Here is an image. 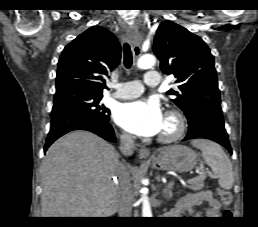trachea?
<instances>
[{
  "mask_svg": "<svg viewBox=\"0 0 258 227\" xmlns=\"http://www.w3.org/2000/svg\"><path fill=\"white\" fill-rule=\"evenodd\" d=\"M123 52H124V65L127 69H129L132 66V52L130 46L125 43L123 47Z\"/></svg>",
  "mask_w": 258,
  "mask_h": 227,
  "instance_id": "trachea-1",
  "label": "trachea"
}]
</instances>
